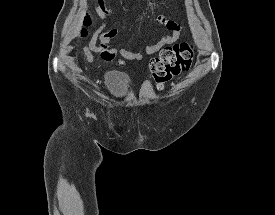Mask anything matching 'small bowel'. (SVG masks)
I'll return each instance as SVG.
<instances>
[{
  "instance_id": "1",
  "label": "small bowel",
  "mask_w": 275,
  "mask_h": 215,
  "mask_svg": "<svg viewBox=\"0 0 275 215\" xmlns=\"http://www.w3.org/2000/svg\"><path fill=\"white\" fill-rule=\"evenodd\" d=\"M95 11L102 20V24L93 33L91 39L84 49L86 59L89 62L93 60L92 53H98L101 58L107 62L113 61L118 53L126 60L140 61L144 58L143 52L146 54H153L159 51L164 46L175 43L180 37L182 31V27L176 22L164 16H158L157 22L160 25L169 29V33L164 34L154 44L142 43L143 52L140 50H130L126 48H121L117 50L115 48H112L110 46V43L113 39L117 37L118 31L113 29L104 32L106 19L113 13V10L107 7L104 0H99V2L95 6Z\"/></svg>"
}]
</instances>
